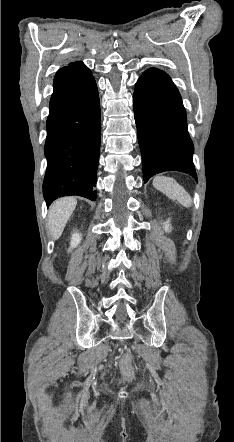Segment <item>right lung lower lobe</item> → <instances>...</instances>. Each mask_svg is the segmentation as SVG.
Returning a JSON list of instances; mask_svg holds the SVG:
<instances>
[{
	"mask_svg": "<svg viewBox=\"0 0 234 442\" xmlns=\"http://www.w3.org/2000/svg\"><path fill=\"white\" fill-rule=\"evenodd\" d=\"M46 128L43 195L47 205L67 195L95 201L100 102L94 77L83 63L56 73Z\"/></svg>",
	"mask_w": 234,
	"mask_h": 442,
	"instance_id": "1",
	"label": "right lung lower lobe"
}]
</instances>
